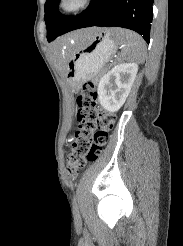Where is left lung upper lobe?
<instances>
[{
	"mask_svg": "<svg viewBox=\"0 0 183 246\" xmlns=\"http://www.w3.org/2000/svg\"><path fill=\"white\" fill-rule=\"evenodd\" d=\"M60 0H46L45 3V23L47 26V40L53 41L66 27L73 16H63L58 11Z\"/></svg>",
	"mask_w": 183,
	"mask_h": 246,
	"instance_id": "5c2ea615",
	"label": "left lung upper lobe"
}]
</instances>
